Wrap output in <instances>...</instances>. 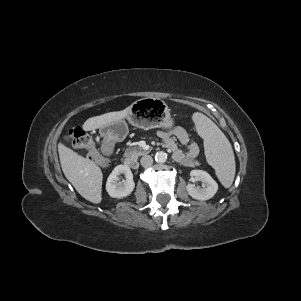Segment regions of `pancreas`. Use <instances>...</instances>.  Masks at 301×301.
Here are the masks:
<instances>
[{
  "instance_id": "pancreas-1",
  "label": "pancreas",
  "mask_w": 301,
  "mask_h": 301,
  "mask_svg": "<svg viewBox=\"0 0 301 301\" xmlns=\"http://www.w3.org/2000/svg\"><path fill=\"white\" fill-rule=\"evenodd\" d=\"M145 154H146V152L143 151L141 148L132 147L125 151L124 156L126 158L137 159L139 156H142ZM193 164H198V162L195 161V162H193Z\"/></svg>"
}]
</instances>
